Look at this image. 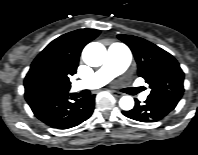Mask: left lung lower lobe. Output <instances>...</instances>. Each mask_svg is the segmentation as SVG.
Returning a JSON list of instances; mask_svg holds the SVG:
<instances>
[{"label":"left lung lower lobe","mask_w":198,"mask_h":155,"mask_svg":"<svg viewBox=\"0 0 198 155\" xmlns=\"http://www.w3.org/2000/svg\"><path fill=\"white\" fill-rule=\"evenodd\" d=\"M135 102L132 110L122 111L123 115L139 122H156L172 111L179 101L170 98H147L143 105L137 99Z\"/></svg>","instance_id":"1"}]
</instances>
